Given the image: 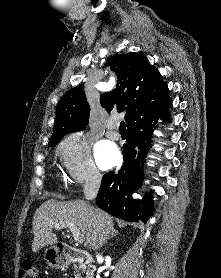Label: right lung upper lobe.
I'll return each mask as SVG.
<instances>
[{"mask_svg":"<svg viewBox=\"0 0 221 278\" xmlns=\"http://www.w3.org/2000/svg\"><path fill=\"white\" fill-rule=\"evenodd\" d=\"M106 66L116 72L118 81L115 89L101 95V105L108 112L113 108L126 111L127 127L171 104L166 83L144 55L135 52L116 55ZM82 89L83 85L71 89L57 104L50 145L56 144L67 133L83 130L88 124L90 107Z\"/></svg>","mask_w":221,"mask_h":278,"instance_id":"obj_1","label":"right lung upper lobe"}]
</instances>
